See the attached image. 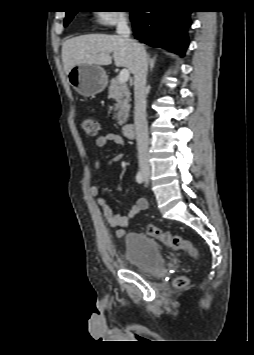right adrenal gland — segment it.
<instances>
[{
    "instance_id": "right-adrenal-gland-1",
    "label": "right adrenal gland",
    "mask_w": 254,
    "mask_h": 355,
    "mask_svg": "<svg viewBox=\"0 0 254 355\" xmlns=\"http://www.w3.org/2000/svg\"><path fill=\"white\" fill-rule=\"evenodd\" d=\"M157 56H154L153 58L150 57V55H147V60H148V65H149V70L152 71L154 68V64L156 61Z\"/></svg>"
}]
</instances>
